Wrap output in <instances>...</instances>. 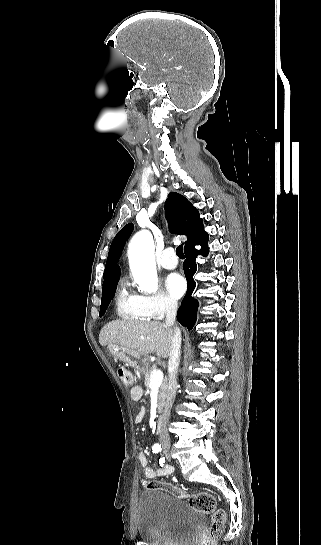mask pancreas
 <instances>
[{
  "label": "pancreas",
  "mask_w": 321,
  "mask_h": 545,
  "mask_svg": "<svg viewBox=\"0 0 321 545\" xmlns=\"http://www.w3.org/2000/svg\"><path fill=\"white\" fill-rule=\"evenodd\" d=\"M157 367L156 365H151V367H149V369H147V371H145L144 375H145V387H147V389H150V377H151V373L152 371H156ZM166 395H167V383L166 381H164V383H162L161 387H160V391H159V395H158V413H162V409L165 405V399H166Z\"/></svg>",
  "instance_id": "1"
}]
</instances>
